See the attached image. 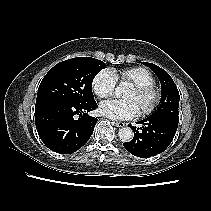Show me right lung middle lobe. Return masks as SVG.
Masks as SVG:
<instances>
[{
    "instance_id": "1",
    "label": "right lung middle lobe",
    "mask_w": 211,
    "mask_h": 211,
    "mask_svg": "<svg viewBox=\"0 0 211 211\" xmlns=\"http://www.w3.org/2000/svg\"><path fill=\"white\" fill-rule=\"evenodd\" d=\"M105 67L103 61L90 57H76L58 63L41 81L36 103L86 104L93 102V79Z\"/></svg>"
}]
</instances>
